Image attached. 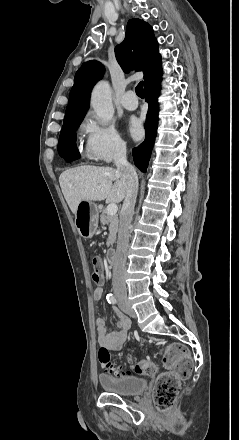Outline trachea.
Returning a JSON list of instances; mask_svg holds the SVG:
<instances>
[{
    "mask_svg": "<svg viewBox=\"0 0 239 440\" xmlns=\"http://www.w3.org/2000/svg\"><path fill=\"white\" fill-rule=\"evenodd\" d=\"M135 92L138 95V97L140 98L144 97L143 82L138 83L137 87L135 88Z\"/></svg>",
    "mask_w": 239,
    "mask_h": 440,
    "instance_id": "obj_1",
    "label": "trachea"
}]
</instances>
